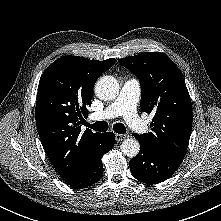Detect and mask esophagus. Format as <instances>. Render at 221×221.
I'll list each match as a JSON object with an SVG mask.
<instances>
[{
  "mask_svg": "<svg viewBox=\"0 0 221 221\" xmlns=\"http://www.w3.org/2000/svg\"><path fill=\"white\" fill-rule=\"evenodd\" d=\"M126 137H127L126 134H118V133L115 134V139L118 142L124 140Z\"/></svg>",
  "mask_w": 221,
  "mask_h": 221,
  "instance_id": "esophagus-1",
  "label": "esophagus"
}]
</instances>
